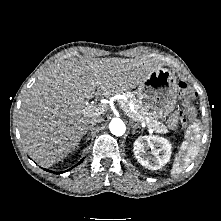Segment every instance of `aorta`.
I'll use <instances>...</instances> for the list:
<instances>
[{
  "mask_svg": "<svg viewBox=\"0 0 221 221\" xmlns=\"http://www.w3.org/2000/svg\"><path fill=\"white\" fill-rule=\"evenodd\" d=\"M111 133L115 136H122L126 131V125L120 118H113L109 124Z\"/></svg>",
  "mask_w": 221,
  "mask_h": 221,
  "instance_id": "1",
  "label": "aorta"
}]
</instances>
